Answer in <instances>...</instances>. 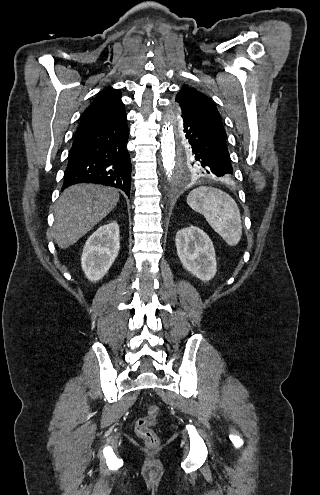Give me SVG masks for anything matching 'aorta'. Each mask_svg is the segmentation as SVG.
I'll use <instances>...</instances> for the list:
<instances>
[{
	"label": "aorta",
	"mask_w": 320,
	"mask_h": 495,
	"mask_svg": "<svg viewBox=\"0 0 320 495\" xmlns=\"http://www.w3.org/2000/svg\"><path fill=\"white\" fill-rule=\"evenodd\" d=\"M175 120L172 115L166 120L161 131V156L163 168L170 177L175 167ZM188 178L181 179L178 186H182Z\"/></svg>",
	"instance_id": "1"
}]
</instances>
